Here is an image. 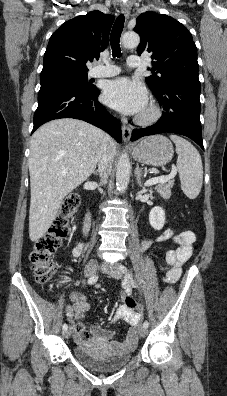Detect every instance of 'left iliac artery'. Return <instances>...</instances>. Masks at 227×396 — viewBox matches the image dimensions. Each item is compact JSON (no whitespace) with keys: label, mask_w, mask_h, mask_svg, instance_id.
Segmentation results:
<instances>
[{"label":"left iliac artery","mask_w":227,"mask_h":396,"mask_svg":"<svg viewBox=\"0 0 227 396\" xmlns=\"http://www.w3.org/2000/svg\"><path fill=\"white\" fill-rule=\"evenodd\" d=\"M120 270H121L122 273H125V274L128 272L127 268L124 265H120ZM143 326L145 328H148V326H149L148 321H145Z\"/></svg>","instance_id":"obj_1"}]
</instances>
